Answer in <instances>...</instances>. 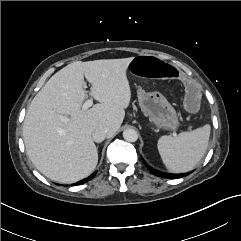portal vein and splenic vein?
I'll return each instance as SVG.
<instances>
[{
	"label": "portal vein and splenic vein",
	"mask_w": 241,
	"mask_h": 241,
	"mask_svg": "<svg viewBox=\"0 0 241 241\" xmlns=\"http://www.w3.org/2000/svg\"><path fill=\"white\" fill-rule=\"evenodd\" d=\"M93 105V100L92 99H88L87 101H85V103L82 106L83 110H87L89 107H91ZM61 120L63 122H67L69 119L67 117H63L61 116Z\"/></svg>",
	"instance_id": "1"
}]
</instances>
